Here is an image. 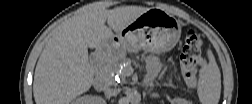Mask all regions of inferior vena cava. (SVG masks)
<instances>
[{"instance_id":"inferior-vena-cava-1","label":"inferior vena cava","mask_w":252,"mask_h":104,"mask_svg":"<svg viewBox=\"0 0 252 104\" xmlns=\"http://www.w3.org/2000/svg\"><path fill=\"white\" fill-rule=\"evenodd\" d=\"M120 93V89H113V88H107L105 90V94L108 97H114L117 96Z\"/></svg>"}]
</instances>
